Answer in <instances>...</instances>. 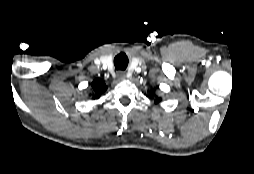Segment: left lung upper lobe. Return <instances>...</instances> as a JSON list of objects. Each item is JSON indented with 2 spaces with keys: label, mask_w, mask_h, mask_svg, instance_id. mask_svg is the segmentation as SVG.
I'll return each instance as SVG.
<instances>
[{
  "label": "left lung upper lobe",
  "mask_w": 254,
  "mask_h": 174,
  "mask_svg": "<svg viewBox=\"0 0 254 174\" xmlns=\"http://www.w3.org/2000/svg\"><path fill=\"white\" fill-rule=\"evenodd\" d=\"M161 101V98H156L155 103H158Z\"/></svg>",
  "instance_id": "1"
}]
</instances>
